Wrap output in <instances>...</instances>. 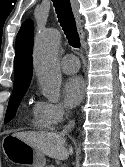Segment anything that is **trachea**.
Masks as SVG:
<instances>
[{
	"label": "trachea",
	"mask_w": 125,
	"mask_h": 167,
	"mask_svg": "<svg viewBox=\"0 0 125 167\" xmlns=\"http://www.w3.org/2000/svg\"><path fill=\"white\" fill-rule=\"evenodd\" d=\"M56 9L60 25L69 41L74 48L80 47V39L76 28L70 0H52Z\"/></svg>",
	"instance_id": "1"
}]
</instances>
